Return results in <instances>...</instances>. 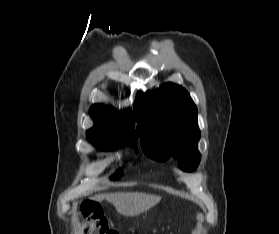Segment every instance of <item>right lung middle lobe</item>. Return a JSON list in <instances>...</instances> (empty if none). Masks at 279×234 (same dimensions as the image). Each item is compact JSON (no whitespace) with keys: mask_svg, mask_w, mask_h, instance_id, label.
I'll return each mask as SVG.
<instances>
[{"mask_svg":"<svg viewBox=\"0 0 279 234\" xmlns=\"http://www.w3.org/2000/svg\"><path fill=\"white\" fill-rule=\"evenodd\" d=\"M92 143L98 148H101L103 150H112L121 146V145H110V144H102V143H94V142ZM121 175L122 173L118 170L113 176H111V180H115L119 178Z\"/></svg>","mask_w":279,"mask_h":234,"instance_id":"dd1d6c3e","label":"right lung middle lobe"}]
</instances>
